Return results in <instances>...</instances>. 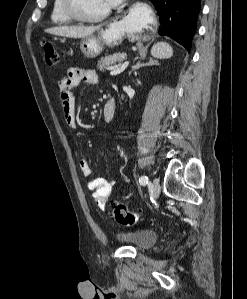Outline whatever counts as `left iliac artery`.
I'll return each mask as SVG.
<instances>
[{
  "label": "left iliac artery",
  "mask_w": 247,
  "mask_h": 299,
  "mask_svg": "<svg viewBox=\"0 0 247 299\" xmlns=\"http://www.w3.org/2000/svg\"><path fill=\"white\" fill-rule=\"evenodd\" d=\"M139 182L142 186H146L149 182L148 177L145 175H142L139 179Z\"/></svg>",
  "instance_id": "44dca946"
}]
</instances>
